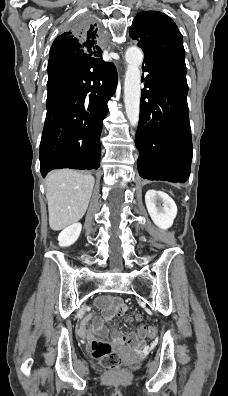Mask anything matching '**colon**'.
<instances>
[{
    "label": "colon",
    "mask_w": 228,
    "mask_h": 396,
    "mask_svg": "<svg viewBox=\"0 0 228 396\" xmlns=\"http://www.w3.org/2000/svg\"><path fill=\"white\" fill-rule=\"evenodd\" d=\"M157 335V329L150 326L146 329V336L154 338ZM91 351L100 364L108 369L117 370L122 364L120 355L113 349V347L104 341L94 340L91 343Z\"/></svg>",
    "instance_id": "colon-1"
}]
</instances>
